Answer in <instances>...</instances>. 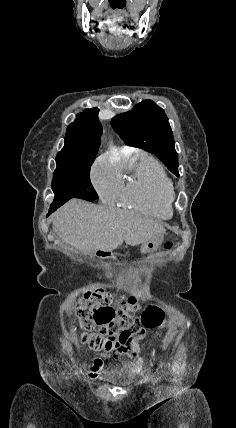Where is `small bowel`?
<instances>
[{
	"instance_id": "1",
	"label": "small bowel",
	"mask_w": 236,
	"mask_h": 428,
	"mask_svg": "<svg viewBox=\"0 0 236 428\" xmlns=\"http://www.w3.org/2000/svg\"><path fill=\"white\" fill-rule=\"evenodd\" d=\"M145 331L141 330L136 335L132 336L128 341L118 348L114 357L124 363H129L139 357L140 345L139 342L144 338ZM104 368V360L102 357H95L92 361L90 374L97 377Z\"/></svg>"
}]
</instances>
